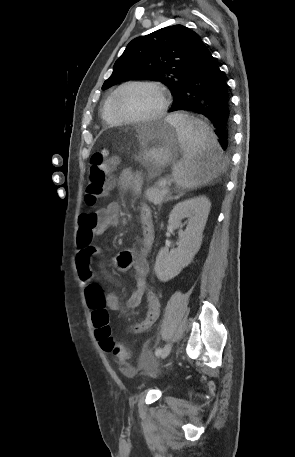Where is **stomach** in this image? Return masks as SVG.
<instances>
[{
  "label": "stomach",
  "mask_w": 295,
  "mask_h": 457,
  "mask_svg": "<svg viewBox=\"0 0 295 457\" xmlns=\"http://www.w3.org/2000/svg\"><path fill=\"white\" fill-rule=\"evenodd\" d=\"M139 143L136 157L152 176L158 175L175 160L180 145L176 127L166 119L142 132Z\"/></svg>",
  "instance_id": "0dacf381"
}]
</instances>
